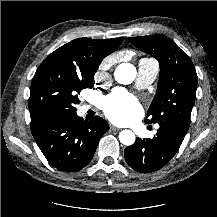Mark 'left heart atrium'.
<instances>
[{
    "mask_svg": "<svg viewBox=\"0 0 217 217\" xmlns=\"http://www.w3.org/2000/svg\"><path fill=\"white\" fill-rule=\"evenodd\" d=\"M103 110L113 122L126 124L139 114L140 105L133 96L117 89L105 98Z\"/></svg>",
    "mask_w": 217,
    "mask_h": 217,
    "instance_id": "obj_1",
    "label": "left heart atrium"
}]
</instances>
